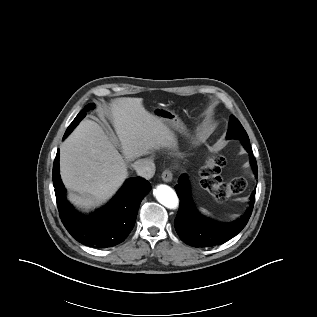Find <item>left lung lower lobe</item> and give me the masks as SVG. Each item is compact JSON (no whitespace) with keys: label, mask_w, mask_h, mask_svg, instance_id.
<instances>
[{"label":"left lung lower lobe","mask_w":317,"mask_h":317,"mask_svg":"<svg viewBox=\"0 0 317 317\" xmlns=\"http://www.w3.org/2000/svg\"><path fill=\"white\" fill-rule=\"evenodd\" d=\"M250 154V164L255 177H258L257 163L250 144H244ZM175 190L180 199L179 212L175 219V229L181 240L193 247H212L221 245L236 236L247 224L253 210L256 189L252 192L248 209L236 221L218 223L202 216L196 210L190 195V187L183 174Z\"/></svg>","instance_id":"left-lung-lower-lobe-1"}]
</instances>
